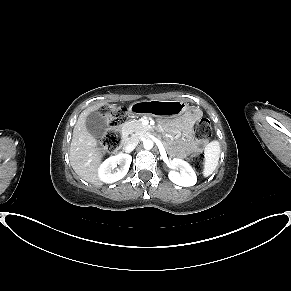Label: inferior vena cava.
I'll list each match as a JSON object with an SVG mask.
<instances>
[{"instance_id": "obj_1", "label": "inferior vena cava", "mask_w": 291, "mask_h": 291, "mask_svg": "<svg viewBox=\"0 0 291 291\" xmlns=\"http://www.w3.org/2000/svg\"><path fill=\"white\" fill-rule=\"evenodd\" d=\"M138 140L137 139H132L128 142V144L125 147V152L130 153L132 152L136 146L138 145Z\"/></svg>"}]
</instances>
